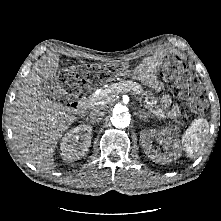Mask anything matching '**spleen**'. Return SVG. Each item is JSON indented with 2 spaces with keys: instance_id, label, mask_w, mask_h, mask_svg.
<instances>
[{
  "instance_id": "3e777b00",
  "label": "spleen",
  "mask_w": 221,
  "mask_h": 221,
  "mask_svg": "<svg viewBox=\"0 0 221 221\" xmlns=\"http://www.w3.org/2000/svg\"><path fill=\"white\" fill-rule=\"evenodd\" d=\"M209 123L203 119H196L182 137L185 152L190 158H195L203 149L208 139Z\"/></svg>"
}]
</instances>
